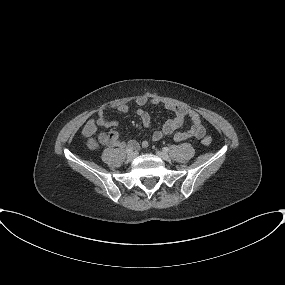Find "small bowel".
<instances>
[{
    "mask_svg": "<svg viewBox=\"0 0 285 285\" xmlns=\"http://www.w3.org/2000/svg\"><path fill=\"white\" fill-rule=\"evenodd\" d=\"M134 104L139 107L136 111V114L141 119L142 124L146 128H150L151 116L142 107L147 104L159 105L161 104V101L157 98L140 96L134 100ZM163 107L166 110L171 111L174 116L170 119H167L160 130L153 132V141H160L165 135L171 134H174V140L177 142H183L189 138L202 139L205 136V128L203 126L200 115L196 111L172 103H164ZM116 110L119 113H127L130 110V104L121 103L116 106ZM186 118L190 120L191 127L188 130L177 131L183 125ZM117 126L118 121L110 120L104 111H99L96 119H91L86 122L82 133L87 139L88 146L92 149L98 147L99 145H108L117 148L127 146L133 149H138L140 147L147 148L149 146V142L147 140H143L141 143H138L135 140L124 142L120 139L119 133L117 131L102 133L97 138L94 137L99 127L114 128Z\"/></svg>",
    "mask_w": 285,
    "mask_h": 285,
    "instance_id": "small-bowel-1",
    "label": "small bowel"
}]
</instances>
